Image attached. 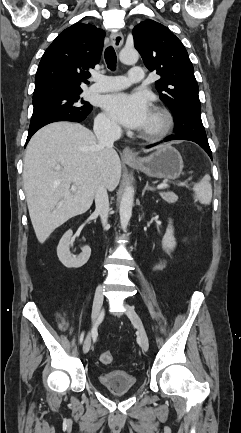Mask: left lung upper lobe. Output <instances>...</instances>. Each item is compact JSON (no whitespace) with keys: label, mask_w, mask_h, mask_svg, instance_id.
Listing matches in <instances>:
<instances>
[{"label":"left lung upper lobe","mask_w":241,"mask_h":433,"mask_svg":"<svg viewBox=\"0 0 241 433\" xmlns=\"http://www.w3.org/2000/svg\"><path fill=\"white\" fill-rule=\"evenodd\" d=\"M132 34L146 67L161 76L155 86L176 119V135L209 146L201 120L198 84L182 42L153 20L139 23Z\"/></svg>","instance_id":"1"}]
</instances>
